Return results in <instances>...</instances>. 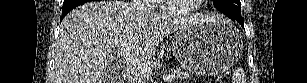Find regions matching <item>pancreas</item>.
<instances>
[{
	"mask_svg": "<svg viewBox=\"0 0 307 83\" xmlns=\"http://www.w3.org/2000/svg\"><path fill=\"white\" fill-rule=\"evenodd\" d=\"M170 75L172 79H180V80H188L190 78V74L188 72L182 71L180 68L171 69ZM145 77H143L140 73L136 78L137 83H146Z\"/></svg>",
	"mask_w": 307,
	"mask_h": 83,
	"instance_id": "obj_1",
	"label": "pancreas"
}]
</instances>
